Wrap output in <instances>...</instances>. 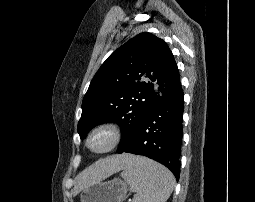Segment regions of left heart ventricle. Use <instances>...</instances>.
Listing matches in <instances>:
<instances>
[{"label": "left heart ventricle", "mask_w": 255, "mask_h": 202, "mask_svg": "<svg viewBox=\"0 0 255 202\" xmlns=\"http://www.w3.org/2000/svg\"><path fill=\"white\" fill-rule=\"evenodd\" d=\"M109 143L108 135L101 133L95 135L90 142V145L93 149L100 150L107 146Z\"/></svg>", "instance_id": "obj_1"}]
</instances>
